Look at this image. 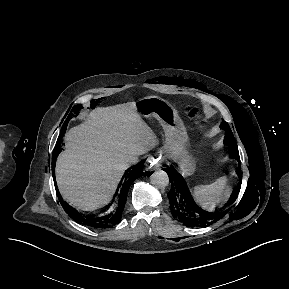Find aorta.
<instances>
[{
  "label": "aorta",
  "instance_id": "aorta-1",
  "mask_svg": "<svg viewBox=\"0 0 289 289\" xmlns=\"http://www.w3.org/2000/svg\"><path fill=\"white\" fill-rule=\"evenodd\" d=\"M151 184L160 189H164L169 184V177L168 174L163 170H156L150 176Z\"/></svg>",
  "mask_w": 289,
  "mask_h": 289
}]
</instances>
